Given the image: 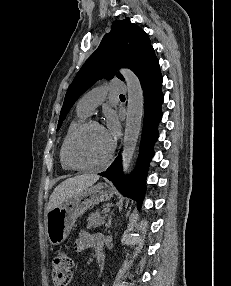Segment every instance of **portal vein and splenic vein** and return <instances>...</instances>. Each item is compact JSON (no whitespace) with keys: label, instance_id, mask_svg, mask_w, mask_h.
Returning a JSON list of instances; mask_svg holds the SVG:
<instances>
[{"label":"portal vein and splenic vein","instance_id":"portal-vein-and-splenic-vein-1","mask_svg":"<svg viewBox=\"0 0 231 286\" xmlns=\"http://www.w3.org/2000/svg\"><path fill=\"white\" fill-rule=\"evenodd\" d=\"M109 211H110L109 208H104V209L102 210V213H103V214H106V213H108Z\"/></svg>","mask_w":231,"mask_h":286}]
</instances>
